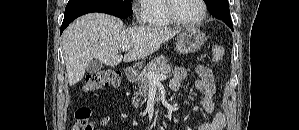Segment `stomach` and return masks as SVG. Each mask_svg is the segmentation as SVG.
Segmentation results:
<instances>
[{
    "instance_id": "obj_1",
    "label": "stomach",
    "mask_w": 299,
    "mask_h": 130,
    "mask_svg": "<svg viewBox=\"0 0 299 130\" xmlns=\"http://www.w3.org/2000/svg\"><path fill=\"white\" fill-rule=\"evenodd\" d=\"M206 41V35L197 28H187L176 43V51L180 54L193 53L199 50Z\"/></svg>"
}]
</instances>
